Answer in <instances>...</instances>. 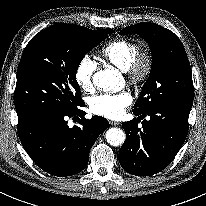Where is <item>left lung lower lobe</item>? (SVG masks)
<instances>
[{
	"mask_svg": "<svg viewBox=\"0 0 206 206\" xmlns=\"http://www.w3.org/2000/svg\"><path fill=\"white\" fill-rule=\"evenodd\" d=\"M191 107L157 104L144 113L133 112L139 117L122 123L126 133L118 157L122 168L136 176H149L167 167L185 141Z\"/></svg>",
	"mask_w": 206,
	"mask_h": 206,
	"instance_id": "left-lung-lower-lobe-1",
	"label": "left lung lower lobe"
}]
</instances>
